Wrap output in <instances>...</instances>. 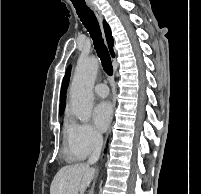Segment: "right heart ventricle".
<instances>
[{
    "mask_svg": "<svg viewBox=\"0 0 201 194\" xmlns=\"http://www.w3.org/2000/svg\"><path fill=\"white\" fill-rule=\"evenodd\" d=\"M67 129H68V126L66 127V133H67ZM69 157H70V159H77V157L72 156L71 154H69Z\"/></svg>",
    "mask_w": 201,
    "mask_h": 194,
    "instance_id": "1",
    "label": "right heart ventricle"
}]
</instances>
